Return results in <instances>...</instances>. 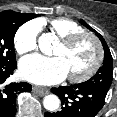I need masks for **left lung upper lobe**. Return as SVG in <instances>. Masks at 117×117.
Listing matches in <instances>:
<instances>
[{
	"mask_svg": "<svg viewBox=\"0 0 117 117\" xmlns=\"http://www.w3.org/2000/svg\"><path fill=\"white\" fill-rule=\"evenodd\" d=\"M81 23L89 30L95 32V34L101 40L105 50L104 63L102 67L98 70V72L93 77H91L88 81L84 82L83 84L88 85L92 88L101 90L102 92L107 94L113 78L112 77V73H113L112 56H111L110 50L105 40L103 39V37L97 31L91 28L85 21L81 20Z\"/></svg>",
	"mask_w": 117,
	"mask_h": 117,
	"instance_id": "obj_1",
	"label": "left lung upper lobe"
}]
</instances>
